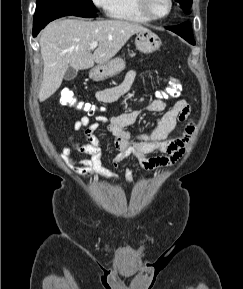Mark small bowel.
<instances>
[{"mask_svg":"<svg viewBox=\"0 0 243 289\" xmlns=\"http://www.w3.org/2000/svg\"><path fill=\"white\" fill-rule=\"evenodd\" d=\"M135 78L136 72L129 71L118 85L98 91L96 93L97 101L102 103L116 101L130 89ZM165 109L166 103L158 97L143 109L131 110L114 116L97 115L94 122L90 121L89 116L84 115L74 121L73 128L83 131L89 144L82 145L75 142L71 134L68 135V140L75 150L89 154L90 159H72L69 147L62 149L61 156L71 169L83 178L98 172L116 180L117 176L102 164L103 151L100 140L95 135L101 127L105 126L117 150V153L111 158L115 167L129 157L134 158L143 168L148 170L171 166L185 154L195 129L194 124L189 119L191 108L186 100H178L163 114L156 126L149 132L132 135L127 130L128 127L136 123L143 112L157 114ZM177 122L186 123L183 133L178 137L168 138V133L175 128ZM154 153H161L162 156L151 157L150 155ZM126 176L127 178L131 177V169L126 171Z\"/></svg>","mask_w":243,"mask_h":289,"instance_id":"c3829d8e","label":"small bowel"}]
</instances>
